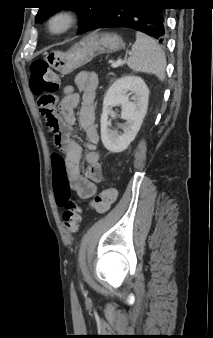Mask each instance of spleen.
<instances>
[{"instance_id":"3e777b00","label":"spleen","mask_w":213,"mask_h":338,"mask_svg":"<svg viewBox=\"0 0 213 338\" xmlns=\"http://www.w3.org/2000/svg\"><path fill=\"white\" fill-rule=\"evenodd\" d=\"M127 65L135 72L153 74L163 81L165 78L166 57L158 43L148 35L137 32L132 46V55Z\"/></svg>"}]
</instances>
